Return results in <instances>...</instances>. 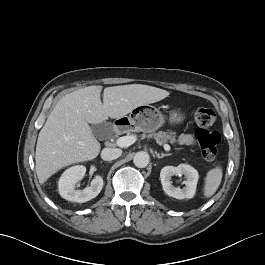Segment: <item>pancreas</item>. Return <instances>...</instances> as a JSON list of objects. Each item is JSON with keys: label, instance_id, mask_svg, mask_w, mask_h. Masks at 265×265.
<instances>
[{"label": "pancreas", "instance_id": "pancreas-1", "mask_svg": "<svg viewBox=\"0 0 265 265\" xmlns=\"http://www.w3.org/2000/svg\"><path fill=\"white\" fill-rule=\"evenodd\" d=\"M147 138H154L159 143H166L170 142L171 144H175L177 142L176 135L173 132H165V131H159L157 133L148 134Z\"/></svg>", "mask_w": 265, "mask_h": 265}]
</instances>
